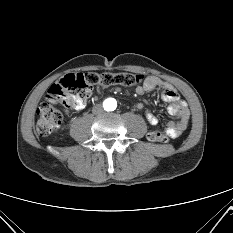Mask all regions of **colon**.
I'll use <instances>...</instances> for the list:
<instances>
[{
  "mask_svg": "<svg viewBox=\"0 0 233 233\" xmlns=\"http://www.w3.org/2000/svg\"><path fill=\"white\" fill-rule=\"evenodd\" d=\"M143 76L135 73H78L67 74L53 84L37 110L36 128L40 135H48L59 129L62 113L80 101H85L94 86L109 87L114 85L138 86ZM148 139L155 143H167V134L160 130L151 131Z\"/></svg>",
  "mask_w": 233,
  "mask_h": 233,
  "instance_id": "5ec220e1",
  "label": "colon"
}]
</instances>
